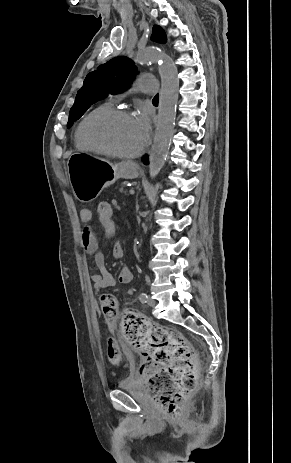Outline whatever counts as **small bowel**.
Wrapping results in <instances>:
<instances>
[{
  "mask_svg": "<svg viewBox=\"0 0 291 463\" xmlns=\"http://www.w3.org/2000/svg\"><path fill=\"white\" fill-rule=\"evenodd\" d=\"M113 217V210L112 216ZM92 219V212L90 209H82L80 211V220L85 224L84 228L81 231V243L84 249L93 257L96 267L99 270V273L91 274L90 280L94 285L96 290H103L115 286L116 279L108 271L105 265V259L103 253L100 251L97 239L93 230L88 226L89 222ZM106 236L111 237L115 234L116 225L115 222L113 226H102ZM114 257L123 256V248L120 244H115L113 248ZM133 279L132 270L128 267L121 269L118 275V282L121 284H128Z\"/></svg>",
  "mask_w": 291,
  "mask_h": 463,
  "instance_id": "1",
  "label": "small bowel"
}]
</instances>
